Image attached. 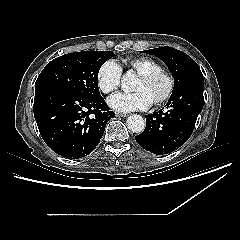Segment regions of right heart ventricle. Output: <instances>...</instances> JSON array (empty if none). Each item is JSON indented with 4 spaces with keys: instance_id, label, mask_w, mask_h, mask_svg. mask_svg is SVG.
I'll return each mask as SVG.
<instances>
[{
    "instance_id": "e07e8e85",
    "label": "right heart ventricle",
    "mask_w": 240,
    "mask_h": 240,
    "mask_svg": "<svg viewBox=\"0 0 240 240\" xmlns=\"http://www.w3.org/2000/svg\"><path fill=\"white\" fill-rule=\"evenodd\" d=\"M123 67H128L137 74L144 73L153 69H159L158 65L147 57L128 58L121 61Z\"/></svg>"
}]
</instances>
